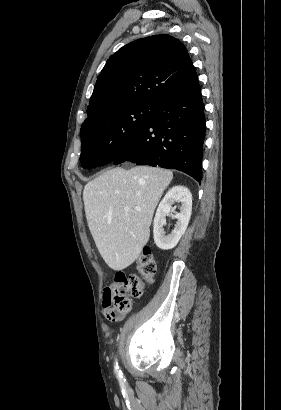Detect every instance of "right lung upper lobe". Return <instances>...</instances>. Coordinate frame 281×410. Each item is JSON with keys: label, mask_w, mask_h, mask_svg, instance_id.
<instances>
[{"label": "right lung upper lobe", "mask_w": 281, "mask_h": 410, "mask_svg": "<svg viewBox=\"0 0 281 410\" xmlns=\"http://www.w3.org/2000/svg\"><path fill=\"white\" fill-rule=\"evenodd\" d=\"M197 84V73L181 41L166 34L138 39L107 60L95 84L85 121L113 108L155 107Z\"/></svg>", "instance_id": "cb5924a9"}]
</instances>
